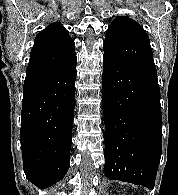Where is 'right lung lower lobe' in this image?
Segmentation results:
<instances>
[{
	"instance_id": "98d812e1",
	"label": "right lung lower lobe",
	"mask_w": 178,
	"mask_h": 195,
	"mask_svg": "<svg viewBox=\"0 0 178 195\" xmlns=\"http://www.w3.org/2000/svg\"><path fill=\"white\" fill-rule=\"evenodd\" d=\"M75 80L76 62L26 74L21 113L23 169L40 188L60 181L69 168Z\"/></svg>"
}]
</instances>
